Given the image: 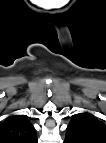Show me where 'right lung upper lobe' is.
Listing matches in <instances>:
<instances>
[{
    "label": "right lung upper lobe",
    "mask_w": 106,
    "mask_h": 143,
    "mask_svg": "<svg viewBox=\"0 0 106 143\" xmlns=\"http://www.w3.org/2000/svg\"><path fill=\"white\" fill-rule=\"evenodd\" d=\"M34 126L23 115H12L0 122V143H32Z\"/></svg>",
    "instance_id": "obj_1"
}]
</instances>
